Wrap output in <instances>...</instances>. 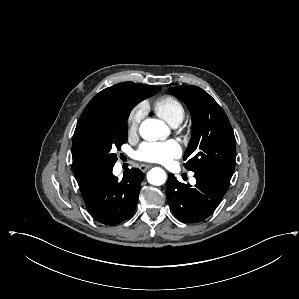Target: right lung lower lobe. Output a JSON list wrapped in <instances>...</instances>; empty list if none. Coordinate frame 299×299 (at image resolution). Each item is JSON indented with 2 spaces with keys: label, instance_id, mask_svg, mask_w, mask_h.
Wrapping results in <instances>:
<instances>
[{
  "label": "right lung lower lobe",
  "instance_id": "obj_1",
  "mask_svg": "<svg viewBox=\"0 0 299 299\" xmlns=\"http://www.w3.org/2000/svg\"><path fill=\"white\" fill-rule=\"evenodd\" d=\"M112 169L79 185L89 213L106 225L118 224L133 214L144 178L140 169L132 168L119 180Z\"/></svg>",
  "mask_w": 299,
  "mask_h": 299
}]
</instances>
